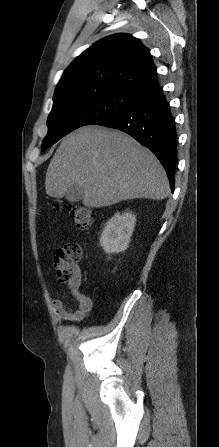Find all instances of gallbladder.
<instances>
[{
	"label": "gallbladder",
	"mask_w": 219,
	"mask_h": 447,
	"mask_svg": "<svg viewBox=\"0 0 219 447\" xmlns=\"http://www.w3.org/2000/svg\"><path fill=\"white\" fill-rule=\"evenodd\" d=\"M65 197L69 202H79L83 199V189L75 185L69 189Z\"/></svg>",
	"instance_id": "1"
}]
</instances>
